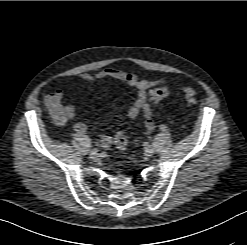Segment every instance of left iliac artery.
<instances>
[{
    "instance_id": "obj_1",
    "label": "left iliac artery",
    "mask_w": 247,
    "mask_h": 245,
    "mask_svg": "<svg viewBox=\"0 0 247 245\" xmlns=\"http://www.w3.org/2000/svg\"><path fill=\"white\" fill-rule=\"evenodd\" d=\"M160 129H161L162 131H165V130H167V126L164 125V124H162V125L160 126Z\"/></svg>"
}]
</instances>
